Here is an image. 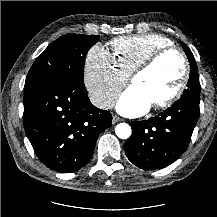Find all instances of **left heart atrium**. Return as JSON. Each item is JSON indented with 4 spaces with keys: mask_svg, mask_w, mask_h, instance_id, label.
Returning <instances> with one entry per match:
<instances>
[{
    "mask_svg": "<svg viewBox=\"0 0 217 217\" xmlns=\"http://www.w3.org/2000/svg\"><path fill=\"white\" fill-rule=\"evenodd\" d=\"M152 105L148 98L134 85L130 86L118 98L117 110L126 116H140Z\"/></svg>",
    "mask_w": 217,
    "mask_h": 217,
    "instance_id": "obj_1",
    "label": "left heart atrium"
}]
</instances>
